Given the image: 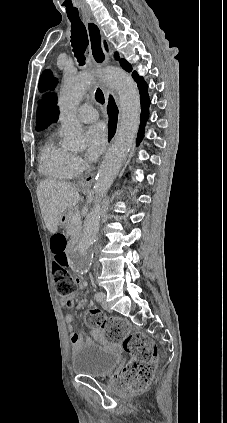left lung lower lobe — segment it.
<instances>
[{"label":"left lung lower lobe","mask_w":227,"mask_h":423,"mask_svg":"<svg viewBox=\"0 0 227 423\" xmlns=\"http://www.w3.org/2000/svg\"><path fill=\"white\" fill-rule=\"evenodd\" d=\"M139 93H140V101H141V123L138 131V136L136 140L137 146L141 142L144 137V127L145 123L148 120V109L150 105V99L147 92V84L144 82L143 78H139L136 80Z\"/></svg>","instance_id":"left-lung-lower-lobe-1"}]
</instances>
